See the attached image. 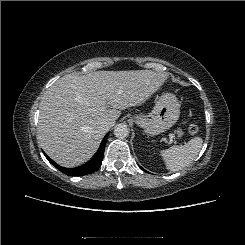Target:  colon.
<instances>
[{
    "mask_svg": "<svg viewBox=\"0 0 245 245\" xmlns=\"http://www.w3.org/2000/svg\"><path fill=\"white\" fill-rule=\"evenodd\" d=\"M199 132H200V127L197 123L194 122L189 126L190 135H197Z\"/></svg>",
    "mask_w": 245,
    "mask_h": 245,
    "instance_id": "obj_1",
    "label": "colon"
}]
</instances>
